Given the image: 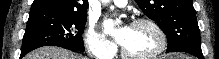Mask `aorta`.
Here are the masks:
<instances>
[{
  "label": "aorta",
  "instance_id": "aorta-1",
  "mask_svg": "<svg viewBox=\"0 0 219 59\" xmlns=\"http://www.w3.org/2000/svg\"><path fill=\"white\" fill-rule=\"evenodd\" d=\"M102 2H103V3H108V2H109V0H102Z\"/></svg>",
  "mask_w": 219,
  "mask_h": 59
}]
</instances>
